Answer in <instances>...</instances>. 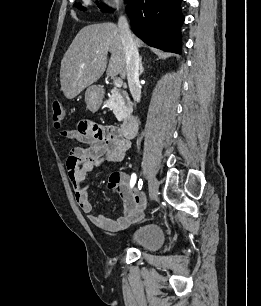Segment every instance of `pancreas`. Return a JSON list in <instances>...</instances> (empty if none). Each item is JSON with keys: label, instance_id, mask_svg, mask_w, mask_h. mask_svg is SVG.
Masks as SVG:
<instances>
[{"label": "pancreas", "instance_id": "pancreas-1", "mask_svg": "<svg viewBox=\"0 0 261 306\" xmlns=\"http://www.w3.org/2000/svg\"><path fill=\"white\" fill-rule=\"evenodd\" d=\"M105 103L113 111L118 121L124 120L130 111V100L127 94L117 89L111 90V95Z\"/></svg>", "mask_w": 261, "mask_h": 306}]
</instances>
